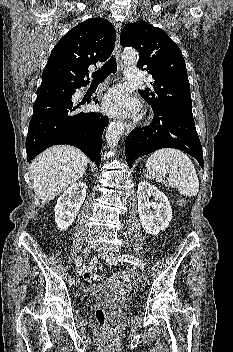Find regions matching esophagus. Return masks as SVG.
Here are the masks:
<instances>
[{"instance_id":"obj_1","label":"esophagus","mask_w":233,"mask_h":352,"mask_svg":"<svg viewBox=\"0 0 233 352\" xmlns=\"http://www.w3.org/2000/svg\"><path fill=\"white\" fill-rule=\"evenodd\" d=\"M121 29H122V24L117 23V25H116L117 36H116V44H115V55H116V58L119 62H120V52H121V45H120ZM132 128H133L132 124L127 123L126 124V133H129L132 130Z\"/></svg>"}]
</instances>
